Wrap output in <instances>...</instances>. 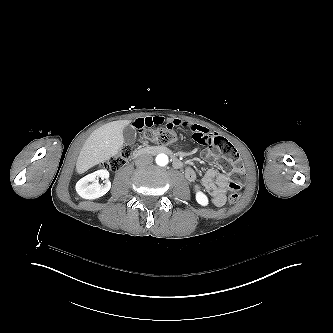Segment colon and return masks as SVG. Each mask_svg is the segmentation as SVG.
<instances>
[{"mask_svg": "<svg viewBox=\"0 0 333 333\" xmlns=\"http://www.w3.org/2000/svg\"><path fill=\"white\" fill-rule=\"evenodd\" d=\"M184 130L187 135H191L195 140L199 141V144L209 145L222 154L224 159L220 160V165L225 172H231L233 176L227 184V189L229 191L228 200L231 203L236 202L240 197L239 191L242 187V181L245 178L244 165L240 160L238 151L225 138L216 135L215 131L212 129H207L203 133L201 126L185 124ZM140 134L147 143L155 146L173 144L178 140V136L174 129L141 131ZM131 154L132 148L126 145L119 150L116 156L105 161L103 166L112 171L118 170L121 167L119 155H124L126 158H129ZM210 157H215V155H210Z\"/></svg>", "mask_w": 333, "mask_h": 333, "instance_id": "1", "label": "colon"}]
</instances>
